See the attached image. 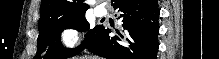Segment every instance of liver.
<instances>
[{
  "label": "liver",
  "mask_w": 219,
  "mask_h": 59,
  "mask_svg": "<svg viewBox=\"0 0 219 59\" xmlns=\"http://www.w3.org/2000/svg\"><path fill=\"white\" fill-rule=\"evenodd\" d=\"M77 59H100V58H98V57H96V56H94V57L83 56V57H80V58H77Z\"/></svg>",
  "instance_id": "1"
}]
</instances>
